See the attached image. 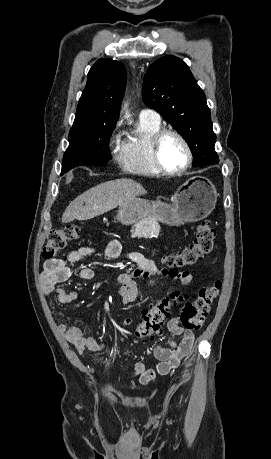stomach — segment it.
I'll return each instance as SVG.
<instances>
[{"label":"stomach","mask_w":271,"mask_h":459,"mask_svg":"<svg viewBox=\"0 0 271 459\" xmlns=\"http://www.w3.org/2000/svg\"><path fill=\"white\" fill-rule=\"evenodd\" d=\"M217 196L216 188L208 178L195 176L178 188L171 204L153 202L151 206L148 200L134 198L126 204H121L117 220L125 226L138 224L148 216L169 226H181L184 222H200L213 212Z\"/></svg>","instance_id":"1"}]
</instances>
